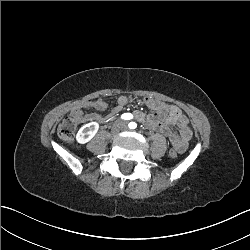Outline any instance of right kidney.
I'll use <instances>...</instances> for the list:
<instances>
[{"label": "right kidney", "mask_w": 250, "mask_h": 250, "mask_svg": "<svg viewBox=\"0 0 250 250\" xmlns=\"http://www.w3.org/2000/svg\"><path fill=\"white\" fill-rule=\"evenodd\" d=\"M98 124L95 122L88 123L84 125L77 134V140L80 143H85L89 141L97 132Z\"/></svg>", "instance_id": "obj_1"}]
</instances>
